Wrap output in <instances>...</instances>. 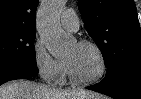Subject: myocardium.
Returning <instances> with one entry per match:
<instances>
[{
	"instance_id": "myocardium-1",
	"label": "myocardium",
	"mask_w": 141,
	"mask_h": 99,
	"mask_svg": "<svg viewBox=\"0 0 141 99\" xmlns=\"http://www.w3.org/2000/svg\"><path fill=\"white\" fill-rule=\"evenodd\" d=\"M77 45L78 46L90 47L97 53L99 60H100V64H101L100 72L97 76H95L92 79H88V80L80 79L73 72L70 63L65 60L64 62H65L67 74H68L71 82L76 84V85L90 86V85L96 84L97 82H99L105 76L106 71H107V61H106V57L104 55V52L102 51V49L96 43L89 41V40H81L77 43Z\"/></svg>"
}]
</instances>
